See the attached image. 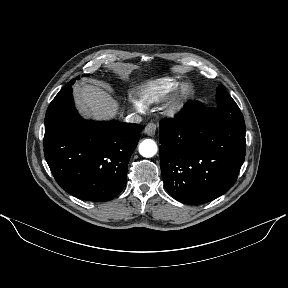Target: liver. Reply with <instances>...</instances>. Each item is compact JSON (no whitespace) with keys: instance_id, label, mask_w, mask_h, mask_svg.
Here are the masks:
<instances>
[{"instance_id":"1","label":"liver","mask_w":288,"mask_h":288,"mask_svg":"<svg viewBox=\"0 0 288 288\" xmlns=\"http://www.w3.org/2000/svg\"><path fill=\"white\" fill-rule=\"evenodd\" d=\"M79 110L86 116L97 120L111 119L118 112V103L109 93L93 85L77 88Z\"/></svg>"}]
</instances>
